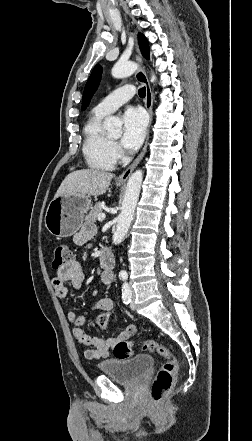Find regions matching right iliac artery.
I'll list each match as a JSON object with an SVG mask.
<instances>
[{
	"label": "right iliac artery",
	"instance_id": "right-iliac-artery-1",
	"mask_svg": "<svg viewBox=\"0 0 252 441\" xmlns=\"http://www.w3.org/2000/svg\"><path fill=\"white\" fill-rule=\"evenodd\" d=\"M122 292H123L122 293L123 302L125 304L130 303V301H131V291H130V288H129L127 283L123 284Z\"/></svg>",
	"mask_w": 252,
	"mask_h": 441
}]
</instances>
